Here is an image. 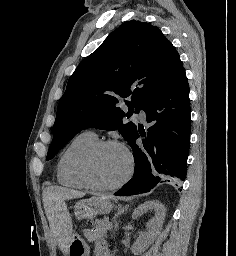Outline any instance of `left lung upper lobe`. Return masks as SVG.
I'll return each instance as SVG.
<instances>
[{
	"instance_id": "left-lung-upper-lobe-1",
	"label": "left lung upper lobe",
	"mask_w": 236,
	"mask_h": 256,
	"mask_svg": "<svg viewBox=\"0 0 236 256\" xmlns=\"http://www.w3.org/2000/svg\"><path fill=\"white\" fill-rule=\"evenodd\" d=\"M183 68L174 46L150 23L132 20L115 29L68 80L59 101L47 160L81 130H116L130 142L137 126L124 123ZM126 101L127 114L120 108Z\"/></svg>"
}]
</instances>
